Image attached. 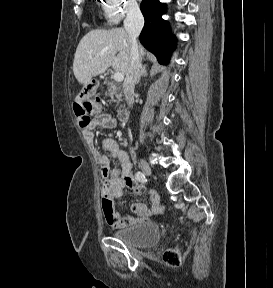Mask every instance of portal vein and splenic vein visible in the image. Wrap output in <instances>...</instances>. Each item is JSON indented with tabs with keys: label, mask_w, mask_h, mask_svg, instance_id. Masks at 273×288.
<instances>
[{
	"label": "portal vein and splenic vein",
	"mask_w": 273,
	"mask_h": 288,
	"mask_svg": "<svg viewBox=\"0 0 273 288\" xmlns=\"http://www.w3.org/2000/svg\"><path fill=\"white\" fill-rule=\"evenodd\" d=\"M114 80L117 82H121L124 79V75L121 72H116L113 76Z\"/></svg>",
	"instance_id": "18ae733b"
}]
</instances>
